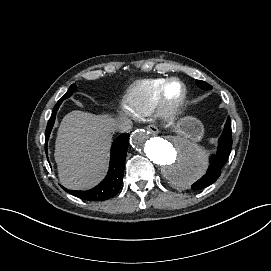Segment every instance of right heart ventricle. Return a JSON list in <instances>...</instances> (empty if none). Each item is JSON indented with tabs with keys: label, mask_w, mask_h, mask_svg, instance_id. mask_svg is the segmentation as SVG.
<instances>
[{
	"label": "right heart ventricle",
	"mask_w": 271,
	"mask_h": 271,
	"mask_svg": "<svg viewBox=\"0 0 271 271\" xmlns=\"http://www.w3.org/2000/svg\"><path fill=\"white\" fill-rule=\"evenodd\" d=\"M166 77L140 79L134 82L125 96L128 112L138 118L150 115L158 106Z\"/></svg>",
	"instance_id": "e07e8e85"
}]
</instances>
